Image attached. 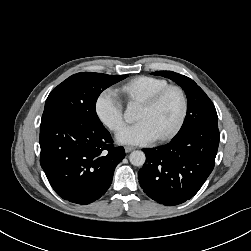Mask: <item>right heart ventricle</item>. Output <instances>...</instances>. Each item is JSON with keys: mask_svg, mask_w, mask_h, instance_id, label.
<instances>
[{"mask_svg": "<svg viewBox=\"0 0 251 251\" xmlns=\"http://www.w3.org/2000/svg\"><path fill=\"white\" fill-rule=\"evenodd\" d=\"M167 85L162 78L138 76L122 84L119 91L128 103H141Z\"/></svg>", "mask_w": 251, "mask_h": 251, "instance_id": "right-heart-ventricle-1", "label": "right heart ventricle"}]
</instances>
